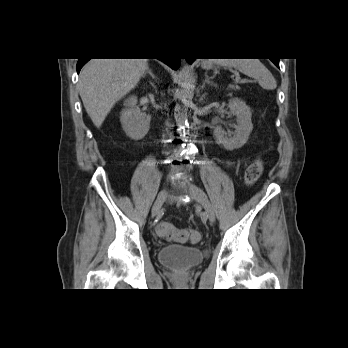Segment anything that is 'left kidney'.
Segmentation results:
<instances>
[{"label": "left kidney", "mask_w": 348, "mask_h": 348, "mask_svg": "<svg viewBox=\"0 0 348 348\" xmlns=\"http://www.w3.org/2000/svg\"><path fill=\"white\" fill-rule=\"evenodd\" d=\"M230 114L237 117V125L234 126L233 136H227L221 126L214 127V137L218 144H221L226 150L241 148L248 140L253 129L251 121V111L244 101L233 98L229 101Z\"/></svg>", "instance_id": "5707ae66"}]
</instances>
